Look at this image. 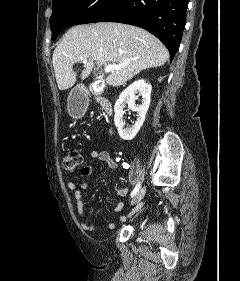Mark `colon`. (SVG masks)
Segmentation results:
<instances>
[{"label": "colon", "mask_w": 240, "mask_h": 281, "mask_svg": "<svg viewBox=\"0 0 240 281\" xmlns=\"http://www.w3.org/2000/svg\"><path fill=\"white\" fill-rule=\"evenodd\" d=\"M83 164V157L78 149H68L63 157V166L66 170H74Z\"/></svg>", "instance_id": "obj_1"}]
</instances>
